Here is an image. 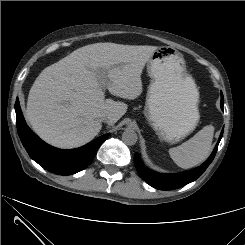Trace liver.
I'll return each instance as SVG.
<instances>
[{"instance_id":"6515ba94","label":"liver","mask_w":245,"mask_h":245,"mask_svg":"<svg viewBox=\"0 0 245 245\" xmlns=\"http://www.w3.org/2000/svg\"><path fill=\"white\" fill-rule=\"evenodd\" d=\"M157 46L95 43L46 67L32 85L26 116L35 133L59 148H77L101 130V117L116 123L127 111L105 99L104 89L124 99L142 93L141 74ZM104 71L105 83H102Z\"/></svg>"}]
</instances>
